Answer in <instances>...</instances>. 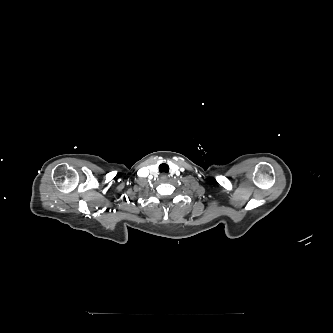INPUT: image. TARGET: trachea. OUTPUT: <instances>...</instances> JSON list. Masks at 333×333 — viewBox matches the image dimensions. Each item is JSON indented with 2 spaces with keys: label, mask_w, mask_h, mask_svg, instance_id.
<instances>
[{
  "label": "trachea",
  "mask_w": 333,
  "mask_h": 333,
  "mask_svg": "<svg viewBox=\"0 0 333 333\" xmlns=\"http://www.w3.org/2000/svg\"><path fill=\"white\" fill-rule=\"evenodd\" d=\"M159 171L161 173H168L169 172V166L166 164V163H162L160 166H159Z\"/></svg>",
  "instance_id": "3493384b"
}]
</instances>
